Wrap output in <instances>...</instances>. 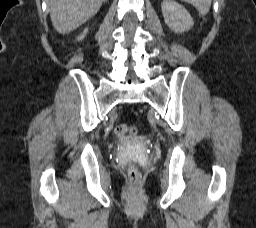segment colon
Listing matches in <instances>:
<instances>
[{
	"instance_id": "5ec220e1",
	"label": "colon",
	"mask_w": 256,
	"mask_h": 228,
	"mask_svg": "<svg viewBox=\"0 0 256 228\" xmlns=\"http://www.w3.org/2000/svg\"><path fill=\"white\" fill-rule=\"evenodd\" d=\"M116 134L121 137L129 136L135 133V127L128 125V124H119L116 127ZM141 180V175L139 170L135 167L132 166L129 168V173H128V182L129 186L133 189L137 188L140 184Z\"/></svg>"
}]
</instances>
